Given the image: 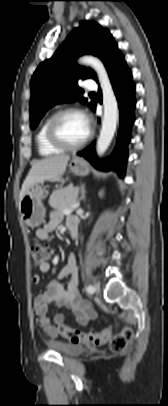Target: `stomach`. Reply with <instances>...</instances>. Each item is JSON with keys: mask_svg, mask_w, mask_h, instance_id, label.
Masks as SVG:
<instances>
[{"mask_svg": "<svg viewBox=\"0 0 168 406\" xmlns=\"http://www.w3.org/2000/svg\"><path fill=\"white\" fill-rule=\"evenodd\" d=\"M69 170L78 176H86L90 172L88 163L79 157H74L69 163ZM45 190L39 185L32 186L19 203V211L23 222L29 227H38L44 220L45 207L42 200Z\"/></svg>", "mask_w": 168, "mask_h": 406, "instance_id": "stomach-1", "label": "stomach"}]
</instances>
